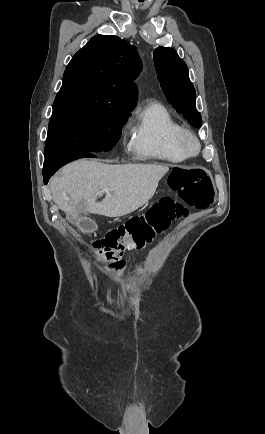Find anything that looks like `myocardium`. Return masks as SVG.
Returning <instances> with one entry per match:
<instances>
[{"label": "myocardium", "mask_w": 265, "mask_h": 434, "mask_svg": "<svg viewBox=\"0 0 265 434\" xmlns=\"http://www.w3.org/2000/svg\"><path fill=\"white\" fill-rule=\"evenodd\" d=\"M188 143H193L196 147L194 152L188 150ZM178 149L180 154L185 159H194L201 155L203 151V144L201 140L190 130L184 129L183 133L177 139Z\"/></svg>", "instance_id": "1"}]
</instances>
